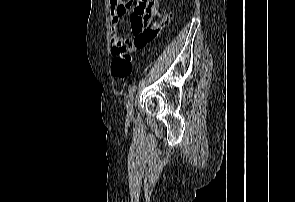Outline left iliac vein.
Wrapping results in <instances>:
<instances>
[{"instance_id":"1","label":"left iliac vein","mask_w":295,"mask_h":202,"mask_svg":"<svg viewBox=\"0 0 295 202\" xmlns=\"http://www.w3.org/2000/svg\"><path fill=\"white\" fill-rule=\"evenodd\" d=\"M134 96H131L127 103V115L128 117H132L134 113Z\"/></svg>"}]
</instances>
